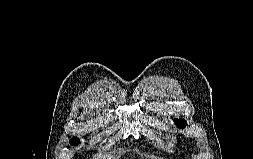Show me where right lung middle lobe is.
I'll use <instances>...</instances> for the list:
<instances>
[{
  "label": "right lung middle lobe",
  "instance_id": "obj_1",
  "mask_svg": "<svg viewBox=\"0 0 253 159\" xmlns=\"http://www.w3.org/2000/svg\"><path fill=\"white\" fill-rule=\"evenodd\" d=\"M71 144H77L78 142H79V139L78 138H73V139H71Z\"/></svg>",
  "mask_w": 253,
  "mask_h": 159
}]
</instances>
